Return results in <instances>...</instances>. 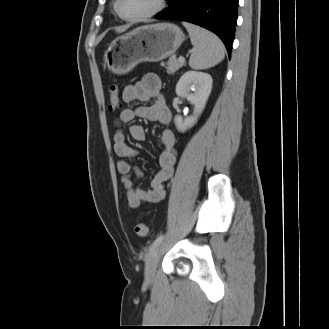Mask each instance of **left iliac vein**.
Wrapping results in <instances>:
<instances>
[{
    "label": "left iliac vein",
    "mask_w": 329,
    "mask_h": 329,
    "mask_svg": "<svg viewBox=\"0 0 329 329\" xmlns=\"http://www.w3.org/2000/svg\"><path fill=\"white\" fill-rule=\"evenodd\" d=\"M161 246L157 245L150 253L148 260L145 265V279L150 282L154 279L157 263L159 259Z\"/></svg>",
    "instance_id": "4c4485c4"
}]
</instances>
